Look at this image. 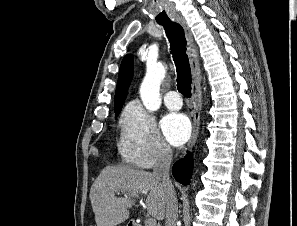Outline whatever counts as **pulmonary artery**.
I'll return each instance as SVG.
<instances>
[{"instance_id": "e3ab8cb5", "label": "pulmonary artery", "mask_w": 297, "mask_h": 226, "mask_svg": "<svg viewBox=\"0 0 297 226\" xmlns=\"http://www.w3.org/2000/svg\"><path fill=\"white\" fill-rule=\"evenodd\" d=\"M164 103L170 110H179L182 106V100L176 91H169L164 97Z\"/></svg>"}]
</instances>
